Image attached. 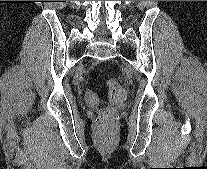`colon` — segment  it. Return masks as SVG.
Returning <instances> with one entry per match:
<instances>
[{
    "label": "colon",
    "mask_w": 207,
    "mask_h": 169,
    "mask_svg": "<svg viewBox=\"0 0 207 169\" xmlns=\"http://www.w3.org/2000/svg\"><path fill=\"white\" fill-rule=\"evenodd\" d=\"M107 89L111 106L101 113L96 124L97 137L103 142H109L114 138L116 131L115 106L123 102L126 97L125 89L114 79L107 82Z\"/></svg>",
    "instance_id": "obj_1"
}]
</instances>
